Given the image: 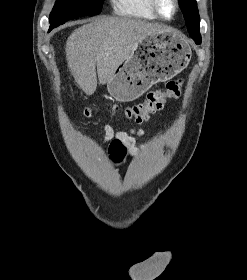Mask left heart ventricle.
I'll use <instances>...</instances> for the list:
<instances>
[{
	"instance_id": "obj_1",
	"label": "left heart ventricle",
	"mask_w": 247,
	"mask_h": 280,
	"mask_svg": "<svg viewBox=\"0 0 247 280\" xmlns=\"http://www.w3.org/2000/svg\"><path fill=\"white\" fill-rule=\"evenodd\" d=\"M160 9L164 16L171 17L174 12V5L171 0H160Z\"/></svg>"
}]
</instances>
